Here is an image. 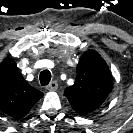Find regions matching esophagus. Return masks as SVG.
<instances>
[{
	"label": "esophagus",
	"mask_w": 133,
	"mask_h": 133,
	"mask_svg": "<svg viewBox=\"0 0 133 133\" xmlns=\"http://www.w3.org/2000/svg\"><path fill=\"white\" fill-rule=\"evenodd\" d=\"M57 88H58V83H57L56 81L50 82V83L47 85V87H46V89H47L48 91H55V90H57Z\"/></svg>",
	"instance_id": "1"
}]
</instances>
